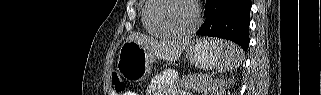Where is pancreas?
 I'll list each match as a JSON object with an SVG mask.
<instances>
[{
  "mask_svg": "<svg viewBox=\"0 0 321 95\" xmlns=\"http://www.w3.org/2000/svg\"><path fill=\"white\" fill-rule=\"evenodd\" d=\"M176 87L178 89L197 91L204 95H208L209 93L213 95L218 88V83L210 76L194 74L183 76Z\"/></svg>",
  "mask_w": 321,
  "mask_h": 95,
  "instance_id": "1",
  "label": "pancreas"
}]
</instances>
